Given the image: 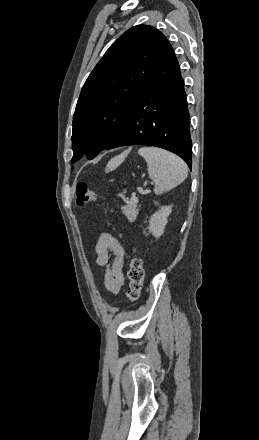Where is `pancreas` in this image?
<instances>
[{
  "instance_id": "cf45deb5",
  "label": "pancreas",
  "mask_w": 259,
  "mask_h": 440,
  "mask_svg": "<svg viewBox=\"0 0 259 440\" xmlns=\"http://www.w3.org/2000/svg\"><path fill=\"white\" fill-rule=\"evenodd\" d=\"M137 202H132V198H131L126 205H123L121 207L123 214L130 221H134L139 213V206L137 205Z\"/></svg>"
}]
</instances>
